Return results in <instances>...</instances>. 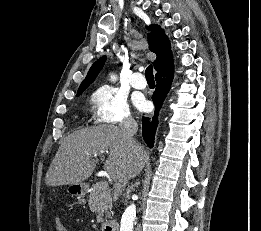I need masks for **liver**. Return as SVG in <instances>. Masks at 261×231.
Returning <instances> with one entry per match:
<instances>
[{"instance_id":"1","label":"liver","mask_w":261,"mask_h":231,"mask_svg":"<svg viewBox=\"0 0 261 231\" xmlns=\"http://www.w3.org/2000/svg\"><path fill=\"white\" fill-rule=\"evenodd\" d=\"M108 150L105 160L103 153ZM146 156L141 146L139 152L134 153L116 126L85 128L63 140L46 173L45 182L52 187L82 183L92 175L98 157L114 182H125L141 172Z\"/></svg>"}]
</instances>
